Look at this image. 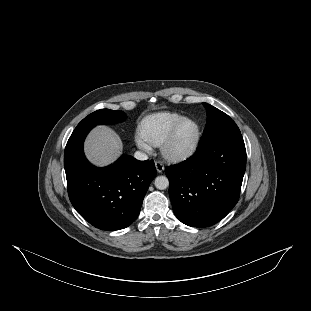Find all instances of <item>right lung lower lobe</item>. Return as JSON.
Returning <instances> with one entry per match:
<instances>
[{"label": "right lung lower lobe", "mask_w": 311, "mask_h": 311, "mask_svg": "<svg viewBox=\"0 0 311 311\" xmlns=\"http://www.w3.org/2000/svg\"><path fill=\"white\" fill-rule=\"evenodd\" d=\"M92 128L75 129L65 148L69 199L76 211L96 228L123 229L139 215L144 196L157 174L154 161L122 155L107 167L93 166L83 152L84 139Z\"/></svg>", "instance_id": "98d812e1"}]
</instances>
